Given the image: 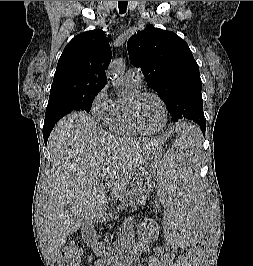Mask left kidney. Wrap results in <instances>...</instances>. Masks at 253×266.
Returning a JSON list of instances; mask_svg holds the SVG:
<instances>
[{"mask_svg": "<svg viewBox=\"0 0 253 266\" xmlns=\"http://www.w3.org/2000/svg\"><path fill=\"white\" fill-rule=\"evenodd\" d=\"M159 237V226L155 221L150 220L143 224L142 238L146 243H152Z\"/></svg>", "mask_w": 253, "mask_h": 266, "instance_id": "left-kidney-1", "label": "left kidney"}]
</instances>
